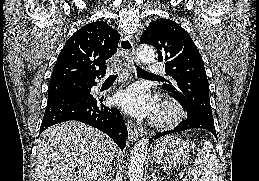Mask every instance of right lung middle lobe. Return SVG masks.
Instances as JSON below:
<instances>
[{"mask_svg":"<svg viewBox=\"0 0 259 181\" xmlns=\"http://www.w3.org/2000/svg\"><path fill=\"white\" fill-rule=\"evenodd\" d=\"M72 84H57V85H49L48 90V98L52 97L53 95L65 90L66 88L70 87Z\"/></svg>","mask_w":259,"mask_h":181,"instance_id":"dd1d6c3e","label":"right lung middle lobe"}]
</instances>
